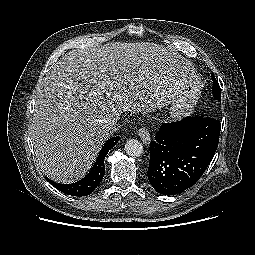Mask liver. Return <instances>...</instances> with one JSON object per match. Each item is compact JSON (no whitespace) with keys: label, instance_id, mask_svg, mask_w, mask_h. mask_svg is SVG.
Listing matches in <instances>:
<instances>
[{"label":"liver","instance_id":"1","mask_svg":"<svg viewBox=\"0 0 255 255\" xmlns=\"http://www.w3.org/2000/svg\"><path fill=\"white\" fill-rule=\"evenodd\" d=\"M190 69L172 50L150 42H110L66 54L43 78L36 103L37 165L56 182L79 180L113 133L114 118L170 103L190 108L198 92Z\"/></svg>","mask_w":255,"mask_h":255}]
</instances>
